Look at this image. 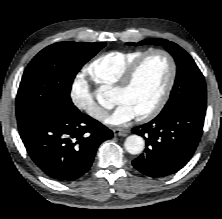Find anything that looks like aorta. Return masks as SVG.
I'll return each instance as SVG.
<instances>
[{"instance_id":"762f6f07","label":"aorta","mask_w":222,"mask_h":219,"mask_svg":"<svg viewBox=\"0 0 222 219\" xmlns=\"http://www.w3.org/2000/svg\"><path fill=\"white\" fill-rule=\"evenodd\" d=\"M97 100L102 103L105 95L102 92H98L96 95ZM145 142L143 138L139 135H130L126 138L124 142V147L126 151L130 154H139L143 151Z\"/></svg>"}]
</instances>
